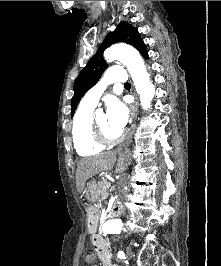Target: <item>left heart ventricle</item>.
Listing matches in <instances>:
<instances>
[{
	"label": "left heart ventricle",
	"instance_id": "obj_1",
	"mask_svg": "<svg viewBox=\"0 0 221 266\" xmlns=\"http://www.w3.org/2000/svg\"><path fill=\"white\" fill-rule=\"evenodd\" d=\"M97 122L101 129L104 131V133L109 137H115L119 134V130L113 128L107 118V115L104 113L98 114L96 116Z\"/></svg>",
	"mask_w": 221,
	"mask_h": 266
}]
</instances>
